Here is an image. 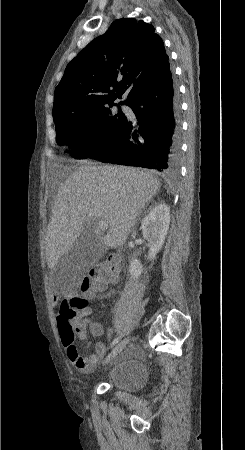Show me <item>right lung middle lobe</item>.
<instances>
[{"label":"right lung middle lobe","mask_w":245,"mask_h":450,"mask_svg":"<svg viewBox=\"0 0 245 450\" xmlns=\"http://www.w3.org/2000/svg\"><path fill=\"white\" fill-rule=\"evenodd\" d=\"M114 105L87 110H74L69 106L53 109L58 143L69 145L70 155L75 159L88 158L107 148L116 140L126 121L121 110L118 113L111 110Z\"/></svg>","instance_id":"dd1d6c3e"}]
</instances>
